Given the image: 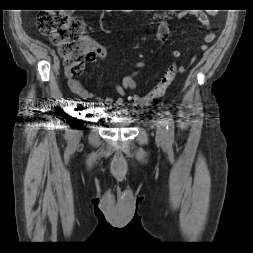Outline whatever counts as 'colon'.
I'll return each instance as SVG.
<instances>
[{
	"mask_svg": "<svg viewBox=\"0 0 253 253\" xmlns=\"http://www.w3.org/2000/svg\"><path fill=\"white\" fill-rule=\"evenodd\" d=\"M38 28L57 44L66 68L73 76L83 73L86 63L95 58L92 43L84 34L83 22L64 11L43 12L38 16ZM183 70V68H181ZM178 67L171 65L160 81L144 95H133L136 105L147 106L159 100L173 83Z\"/></svg>",
	"mask_w": 253,
	"mask_h": 253,
	"instance_id": "colon-1",
	"label": "colon"
}]
</instances>
